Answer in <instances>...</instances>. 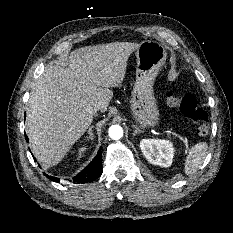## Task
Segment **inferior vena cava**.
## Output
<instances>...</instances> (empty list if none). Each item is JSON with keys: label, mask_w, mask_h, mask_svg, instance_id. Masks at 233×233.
Wrapping results in <instances>:
<instances>
[{"label": "inferior vena cava", "mask_w": 233, "mask_h": 233, "mask_svg": "<svg viewBox=\"0 0 233 233\" xmlns=\"http://www.w3.org/2000/svg\"><path fill=\"white\" fill-rule=\"evenodd\" d=\"M98 110H99L98 107L94 108V110L92 111V114H93V115H96Z\"/></svg>", "instance_id": "1"}]
</instances>
